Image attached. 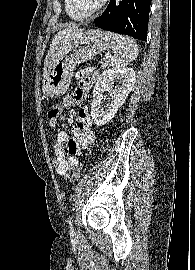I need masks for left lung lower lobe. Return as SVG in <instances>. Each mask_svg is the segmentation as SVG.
<instances>
[{"mask_svg":"<svg viewBox=\"0 0 195 270\" xmlns=\"http://www.w3.org/2000/svg\"><path fill=\"white\" fill-rule=\"evenodd\" d=\"M151 0H111L94 20L97 27L146 40Z\"/></svg>","mask_w":195,"mask_h":270,"instance_id":"obj_1","label":"left lung lower lobe"}]
</instances>
